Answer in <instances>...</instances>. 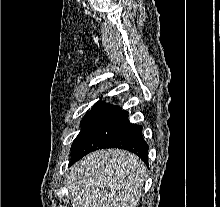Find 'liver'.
I'll list each match as a JSON object with an SVG mask.
<instances>
[{
  "label": "liver",
  "instance_id": "liver-1",
  "mask_svg": "<svg viewBox=\"0 0 220 207\" xmlns=\"http://www.w3.org/2000/svg\"><path fill=\"white\" fill-rule=\"evenodd\" d=\"M146 178L139 157L126 150L104 149L74 164L66 185L72 207H136Z\"/></svg>",
  "mask_w": 220,
  "mask_h": 207
}]
</instances>
